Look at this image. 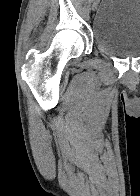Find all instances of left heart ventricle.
<instances>
[{
	"mask_svg": "<svg viewBox=\"0 0 140 196\" xmlns=\"http://www.w3.org/2000/svg\"><path fill=\"white\" fill-rule=\"evenodd\" d=\"M103 192H122V191H103Z\"/></svg>",
	"mask_w": 140,
	"mask_h": 196,
	"instance_id": "1",
	"label": "left heart ventricle"
}]
</instances>
